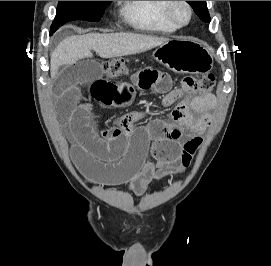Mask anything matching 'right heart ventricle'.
I'll return each mask as SVG.
<instances>
[{
  "instance_id": "1",
  "label": "right heart ventricle",
  "mask_w": 271,
  "mask_h": 266,
  "mask_svg": "<svg viewBox=\"0 0 271 266\" xmlns=\"http://www.w3.org/2000/svg\"><path fill=\"white\" fill-rule=\"evenodd\" d=\"M166 5L167 1H122L121 13L134 28L172 33L178 27L167 16Z\"/></svg>"
}]
</instances>
